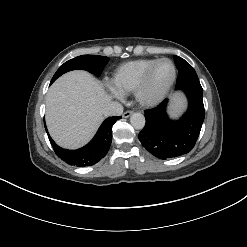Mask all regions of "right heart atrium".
Wrapping results in <instances>:
<instances>
[{
    "label": "right heart atrium",
    "instance_id": "obj_1",
    "mask_svg": "<svg viewBox=\"0 0 247 247\" xmlns=\"http://www.w3.org/2000/svg\"><path fill=\"white\" fill-rule=\"evenodd\" d=\"M113 93H114L116 96H118V97L121 96V94H120L119 92H117L115 89L113 90Z\"/></svg>",
    "mask_w": 247,
    "mask_h": 247
}]
</instances>
